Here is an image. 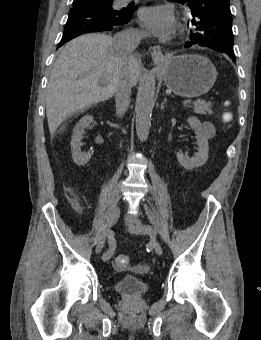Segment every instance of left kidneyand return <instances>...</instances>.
Listing matches in <instances>:
<instances>
[{"label":"left kidney","instance_id":"5707ae66","mask_svg":"<svg viewBox=\"0 0 261 340\" xmlns=\"http://www.w3.org/2000/svg\"><path fill=\"white\" fill-rule=\"evenodd\" d=\"M190 127L195 131L198 152L195 153L194 157L184 155L182 152H177V160L181 166L186 170H193L205 164L208 160L209 145L206 136L202 131V125L198 118L190 117L187 119Z\"/></svg>","mask_w":261,"mask_h":340}]
</instances>
